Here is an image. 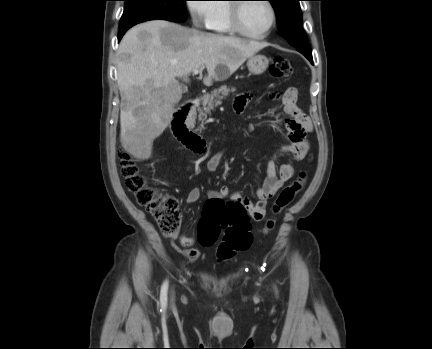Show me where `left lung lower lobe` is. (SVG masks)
<instances>
[{
	"instance_id": "obj_1",
	"label": "left lung lower lobe",
	"mask_w": 432,
	"mask_h": 349,
	"mask_svg": "<svg viewBox=\"0 0 432 349\" xmlns=\"http://www.w3.org/2000/svg\"><path fill=\"white\" fill-rule=\"evenodd\" d=\"M297 51H299L300 53H302L312 64H314L313 63V59H312L311 50L297 48Z\"/></svg>"
}]
</instances>
